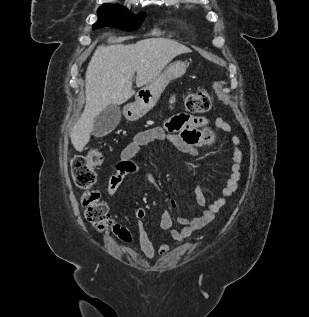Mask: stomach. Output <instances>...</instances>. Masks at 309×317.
Wrapping results in <instances>:
<instances>
[{
    "mask_svg": "<svg viewBox=\"0 0 309 317\" xmlns=\"http://www.w3.org/2000/svg\"><path fill=\"white\" fill-rule=\"evenodd\" d=\"M186 63L175 61L171 63L156 79L140 89L135 95V101L125 106L124 116L129 121H136L150 111L159 100L167 85L182 77L186 72Z\"/></svg>",
    "mask_w": 309,
    "mask_h": 317,
    "instance_id": "stomach-1",
    "label": "stomach"
}]
</instances>
